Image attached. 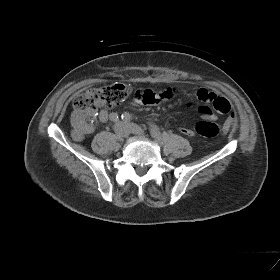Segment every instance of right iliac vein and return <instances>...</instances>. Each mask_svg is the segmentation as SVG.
Listing matches in <instances>:
<instances>
[{"label": "right iliac vein", "instance_id": "1", "mask_svg": "<svg viewBox=\"0 0 280 280\" xmlns=\"http://www.w3.org/2000/svg\"><path fill=\"white\" fill-rule=\"evenodd\" d=\"M129 132H130L129 128H128L127 126H125V125H123V126H121V127L119 128V133H120L123 137L128 136V135H129Z\"/></svg>", "mask_w": 280, "mask_h": 280}]
</instances>
